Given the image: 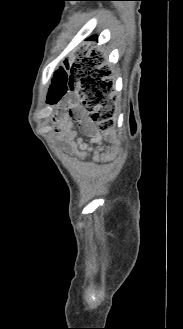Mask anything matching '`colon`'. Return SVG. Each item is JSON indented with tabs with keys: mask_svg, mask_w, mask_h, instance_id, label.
<instances>
[{
	"mask_svg": "<svg viewBox=\"0 0 183 329\" xmlns=\"http://www.w3.org/2000/svg\"><path fill=\"white\" fill-rule=\"evenodd\" d=\"M59 81H50L47 93L49 103H63V109H86L101 131L109 134L113 127V105L109 99L112 83L99 73H114V66H102L99 55H88L83 48L71 61V56H60ZM104 62H112V55H104ZM112 140V135H108Z\"/></svg>",
	"mask_w": 183,
	"mask_h": 329,
	"instance_id": "1",
	"label": "colon"
}]
</instances>
